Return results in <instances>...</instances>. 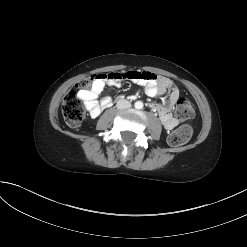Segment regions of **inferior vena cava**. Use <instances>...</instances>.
<instances>
[{"mask_svg":"<svg viewBox=\"0 0 247 247\" xmlns=\"http://www.w3.org/2000/svg\"><path fill=\"white\" fill-rule=\"evenodd\" d=\"M118 109H126L131 107V103L128 100L122 99L117 102Z\"/></svg>","mask_w":247,"mask_h":247,"instance_id":"602c4592","label":"inferior vena cava"}]
</instances>
